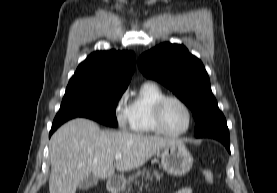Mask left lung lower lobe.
<instances>
[{"instance_id": "0a47b994", "label": "left lung lower lobe", "mask_w": 277, "mask_h": 193, "mask_svg": "<svg viewBox=\"0 0 277 193\" xmlns=\"http://www.w3.org/2000/svg\"><path fill=\"white\" fill-rule=\"evenodd\" d=\"M197 138H213L216 139L218 141H220L221 143H223L226 147V149L229 151L230 153V137H229V130L227 125H221V126H217L214 128H211L207 131H205L204 133L195 136Z\"/></svg>"}]
</instances>
